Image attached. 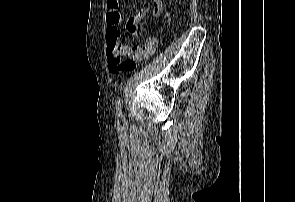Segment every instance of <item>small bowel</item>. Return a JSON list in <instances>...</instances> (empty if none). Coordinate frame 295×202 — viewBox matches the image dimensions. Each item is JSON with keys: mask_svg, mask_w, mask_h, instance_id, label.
I'll use <instances>...</instances> for the list:
<instances>
[{"mask_svg": "<svg viewBox=\"0 0 295 202\" xmlns=\"http://www.w3.org/2000/svg\"><path fill=\"white\" fill-rule=\"evenodd\" d=\"M163 11L162 0H153L152 6L138 11L130 18V23L135 24L143 17L150 15L153 17L159 16ZM106 19L109 24H120L123 20L122 14L119 11V0H106ZM158 46L155 37H149L144 46L128 45L124 43L119 47H108V62L111 73L117 74L122 71H130L134 67L131 63H120V57L129 55L135 59L141 60L148 58L155 53ZM119 58V60L117 59Z\"/></svg>", "mask_w": 295, "mask_h": 202, "instance_id": "1", "label": "small bowel"}]
</instances>
